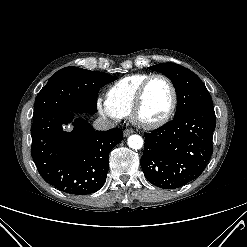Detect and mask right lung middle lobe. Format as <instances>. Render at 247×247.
Here are the masks:
<instances>
[{
    "label": "right lung middle lobe",
    "mask_w": 247,
    "mask_h": 247,
    "mask_svg": "<svg viewBox=\"0 0 247 247\" xmlns=\"http://www.w3.org/2000/svg\"><path fill=\"white\" fill-rule=\"evenodd\" d=\"M114 80L106 73L65 67L53 74L37 95L33 117L54 109L94 114L100 88Z\"/></svg>",
    "instance_id": "obj_1"
}]
</instances>
